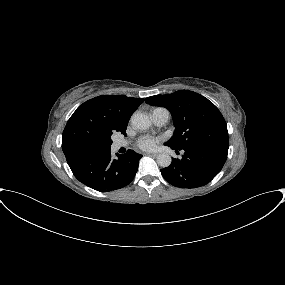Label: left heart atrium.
I'll list each match as a JSON object with an SVG mask.
<instances>
[{
  "label": "left heart atrium",
  "instance_id": "39dd6f15",
  "mask_svg": "<svg viewBox=\"0 0 285 285\" xmlns=\"http://www.w3.org/2000/svg\"><path fill=\"white\" fill-rule=\"evenodd\" d=\"M159 142L158 138L152 136H143L138 140V147L143 150H151L153 149L156 144Z\"/></svg>",
  "mask_w": 285,
  "mask_h": 285
}]
</instances>
